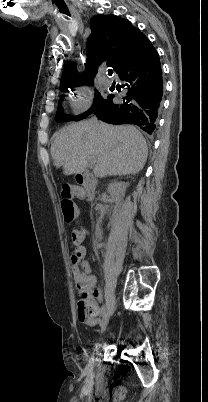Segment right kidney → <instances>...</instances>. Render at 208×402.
<instances>
[{
    "label": "right kidney",
    "instance_id": "obj_1",
    "mask_svg": "<svg viewBox=\"0 0 208 402\" xmlns=\"http://www.w3.org/2000/svg\"><path fill=\"white\" fill-rule=\"evenodd\" d=\"M127 186L128 184H126V182H113V184H109L108 192L115 202L113 214H117V210L120 208L125 196Z\"/></svg>",
    "mask_w": 208,
    "mask_h": 402
}]
</instances>
